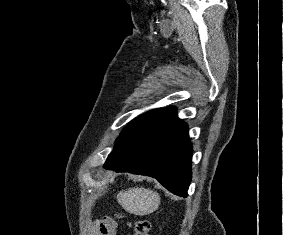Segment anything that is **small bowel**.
Segmentation results:
<instances>
[{"instance_id":"small-bowel-1","label":"small bowel","mask_w":283,"mask_h":235,"mask_svg":"<svg viewBox=\"0 0 283 235\" xmlns=\"http://www.w3.org/2000/svg\"><path fill=\"white\" fill-rule=\"evenodd\" d=\"M116 227V223L107 217L98 219L94 223V228L97 232V235H115Z\"/></svg>"}]
</instances>
